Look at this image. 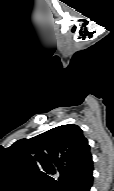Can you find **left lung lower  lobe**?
Instances as JSON below:
<instances>
[{
    "instance_id": "obj_1",
    "label": "left lung lower lobe",
    "mask_w": 114,
    "mask_h": 191,
    "mask_svg": "<svg viewBox=\"0 0 114 191\" xmlns=\"http://www.w3.org/2000/svg\"><path fill=\"white\" fill-rule=\"evenodd\" d=\"M93 161L89 158L82 167L64 184L60 191H90L93 184Z\"/></svg>"
}]
</instances>
